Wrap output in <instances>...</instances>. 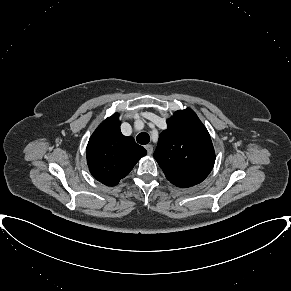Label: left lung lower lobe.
I'll return each instance as SVG.
<instances>
[{"label": "left lung lower lobe", "instance_id": "0a47b994", "mask_svg": "<svg viewBox=\"0 0 291 291\" xmlns=\"http://www.w3.org/2000/svg\"><path fill=\"white\" fill-rule=\"evenodd\" d=\"M176 186L185 188V186H180V185H176Z\"/></svg>", "mask_w": 291, "mask_h": 291}]
</instances>
